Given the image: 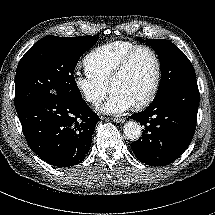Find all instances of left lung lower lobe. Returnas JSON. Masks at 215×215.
<instances>
[{
  "instance_id": "1",
  "label": "left lung lower lobe",
  "mask_w": 215,
  "mask_h": 215,
  "mask_svg": "<svg viewBox=\"0 0 215 215\" xmlns=\"http://www.w3.org/2000/svg\"><path fill=\"white\" fill-rule=\"evenodd\" d=\"M198 106L199 91L193 79L156 96L143 112L131 115L145 127L142 137L131 144L136 158L150 166L176 160L191 143Z\"/></svg>"
}]
</instances>
